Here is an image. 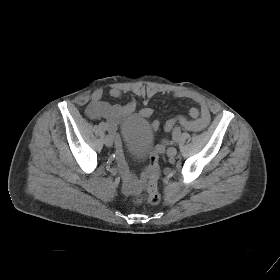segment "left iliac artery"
Returning a JSON list of instances; mask_svg holds the SVG:
<instances>
[{
    "label": "left iliac artery",
    "instance_id": "left-iliac-artery-1",
    "mask_svg": "<svg viewBox=\"0 0 280 280\" xmlns=\"http://www.w3.org/2000/svg\"><path fill=\"white\" fill-rule=\"evenodd\" d=\"M181 135V127L176 125L172 128V139L173 143L176 144L180 138Z\"/></svg>",
    "mask_w": 280,
    "mask_h": 280
}]
</instances>
